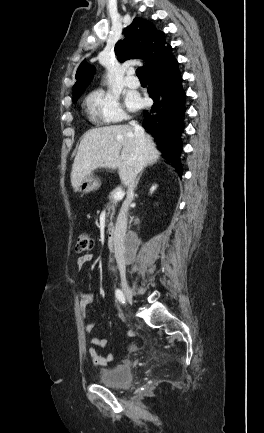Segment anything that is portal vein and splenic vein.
<instances>
[{
	"instance_id": "1",
	"label": "portal vein and splenic vein",
	"mask_w": 264,
	"mask_h": 433,
	"mask_svg": "<svg viewBox=\"0 0 264 433\" xmlns=\"http://www.w3.org/2000/svg\"><path fill=\"white\" fill-rule=\"evenodd\" d=\"M124 195H125L124 191H122V190H117V191L114 193V199H116V200H122V199L124 198Z\"/></svg>"
}]
</instances>
